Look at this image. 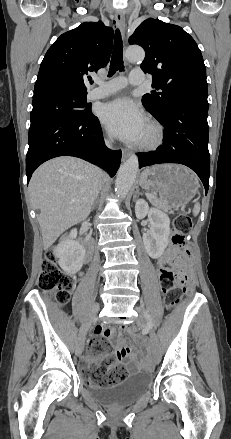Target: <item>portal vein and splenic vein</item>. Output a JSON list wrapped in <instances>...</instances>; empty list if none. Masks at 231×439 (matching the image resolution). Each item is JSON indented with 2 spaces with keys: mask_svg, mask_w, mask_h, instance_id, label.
<instances>
[{
  "mask_svg": "<svg viewBox=\"0 0 231 439\" xmlns=\"http://www.w3.org/2000/svg\"><path fill=\"white\" fill-rule=\"evenodd\" d=\"M146 196H147L149 199H153V198H155V196L152 195V194H146Z\"/></svg>",
  "mask_w": 231,
  "mask_h": 439,
  "instance_id": "portal-vein-and-splenic-vein-1",
  "label": "portal vein and splenic vein"
}]
</instances>
